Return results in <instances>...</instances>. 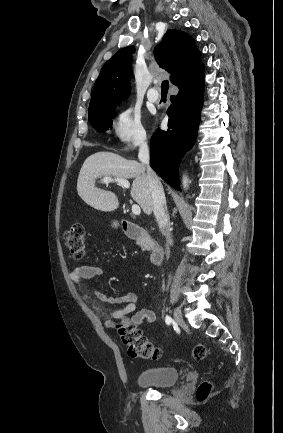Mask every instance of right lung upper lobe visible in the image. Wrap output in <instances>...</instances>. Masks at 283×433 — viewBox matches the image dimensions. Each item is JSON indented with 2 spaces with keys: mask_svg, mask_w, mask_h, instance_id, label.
<instances>
[{
  "mask_svg": "<svg viewBox=\"0 0 283 433\" xmlns=\"http://www.w3.org/2000/svg\"><path fill=\"white\" fill-rule=\"evenodd\" d=\"M133 46L119 50L104 65L94 85L89 113L119 103L130 95ZM159 66L171 73V82L178 87L192 84L204 76L201 52L195 40L183 31L168 30L154 49Z\"/></svg>",
  "mask_w": 283,
  "mask_h": 433,
  "instance_id": "obj_1",
  "label": "right lung upper lobe"
}]
</instances>
